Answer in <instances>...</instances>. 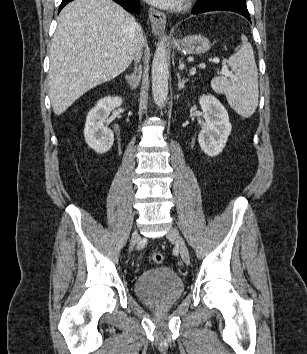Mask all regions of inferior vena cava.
<instances>
[{
  "label": "inferior vena cava",
  "instance_id": "602c4592",
  "mask_svg": "<svg viewBox=\"0 0 307 354\" xmlns=\"http://www.w3.org/2000/svg\"><path fill=\"white\" fill-rule=\"evenodd\" d=\"M142 46H143V35H141V44L139 45L138 49H137V52L134 56V60L137 62H139L140 58H141V49H142Z\"/></svg>",
  "mask_w": 307,
  "mask_h": 354
}]
</instances>
